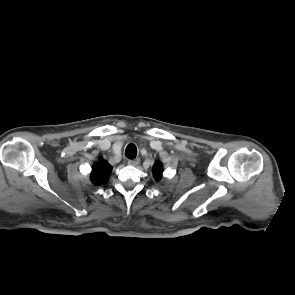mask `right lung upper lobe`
<instances>
[{"instance_id":"1","label":"right lung upper lobe","mask_w":295,"mask_h":295,"mask_svg":"<svg viewBox=\"0 0 295 295\" xmlns=\"http://www.w3.org/2000/svg\"><path fill=\"white\" fill-rule=\"evenodd\" d=\"M112 166L104 160L102 157L99 158V161L94 163L92 167V172L90 179L95 185L106 184L111 173Z\"/></svg>"}]
</instances>
